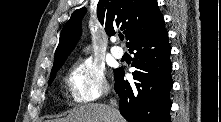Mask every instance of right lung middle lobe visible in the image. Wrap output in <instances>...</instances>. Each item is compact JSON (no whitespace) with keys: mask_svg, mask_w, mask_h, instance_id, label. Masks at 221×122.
<instances>
[{"mask_svg":"<svg viewBox=\"0 0 221 122\" xmlns=\"http://www.w3.org/2000/svg\"><path fill=\"white\" fill-rule=\"evenodd\" d=\"M56 73H57V71L52 72V73L50 74L49 84H51V82L53 81L54 77L56 76Z\"/></svg>","mask_w":221,"mask_h":122,"instance_id":"right-lung-middle-lobe-1","label":"right lung middle lobe"}]
</instances>
